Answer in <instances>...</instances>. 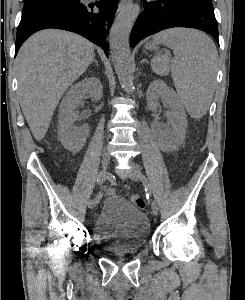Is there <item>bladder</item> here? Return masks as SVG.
Here are the masks:
<instances>
[{"label":"bladder","mask_w":245,"mask_h":300,"mask_svg":"<svg viewBox=\"0 0 245 300\" xmlns=\"http://www.w3.org/2000/svg\"><path fill=\"white\" fill-rule=\"evenodd\" d=\"M94 240L114 253L141 249L150 234L146 215L126 199L109 196L92 225Z\"/></svg>","instance_id":"bladder-1"}]
</instances>
